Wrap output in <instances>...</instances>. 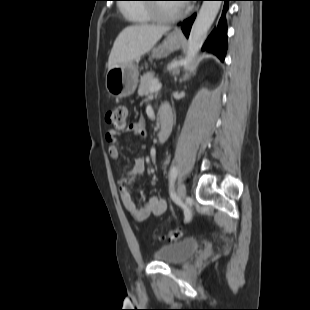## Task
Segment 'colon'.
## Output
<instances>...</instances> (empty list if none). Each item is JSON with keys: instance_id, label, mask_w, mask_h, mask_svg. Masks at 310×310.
I'll return each instance as SVG.
<instances>
[{"instance_id": "colon-1", "label": "colon", "mask_w": 310, "mask_h": 310, "mask_svg": "<svg viewBox=\"0 0 310 310\" xmlns=\"http://www.w3.org/2000/svg\"><path fill=\"white\" fill-rule=\"evenodd\" d=\"M127 108L124 105H118L106 113V121L117 130H123L126 126ZM183 236L181 229L169 231L163 239L168 241L179 240Z\"/></svg>"}]
</instances>
